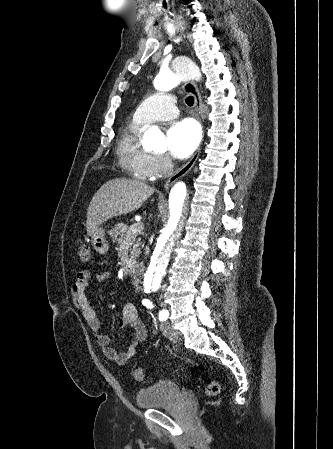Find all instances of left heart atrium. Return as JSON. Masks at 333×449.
Listing matches in <instances>:
<instances>
[{"instance_id": "obj_1", "label": "left heart atrium", "mask_w": 333, "mask_h": 449, "mask_svg": "<svg viewBox=\"0 0 333 449\" xmlns=\"http://www.w3.org/2000/svg\"><path fill=\"white\" fill-rule=\"evenodd\" d=\"M200 139V128L191 119L175 122L167 131L169 151L177 159L188 158L197 148Z\"/></svg>"}]
</instances>
